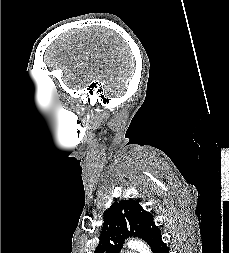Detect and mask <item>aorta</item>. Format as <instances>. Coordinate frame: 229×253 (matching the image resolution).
<instances>
[{
	"label": "aorta",
	"mask_w": 229,
	"mask_h": 253,
	"mask_svg": "<svg viewBox=\"0 0 229 253\" xmlns=\"http://www.w3.org/2000/svg\"><path fill=\"white\" fill-rule=\"evenodd\" d=\"M128 246L134 250H137L139 253H152L150 247L140 240H131L128 242Z\"/></svg>",
	"instance_id": "762f6f07"
}]
</instances>
